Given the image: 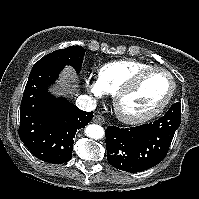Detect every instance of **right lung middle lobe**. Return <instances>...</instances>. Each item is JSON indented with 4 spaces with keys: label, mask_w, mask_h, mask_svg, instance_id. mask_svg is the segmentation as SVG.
Masks as SVG:
<instances>
[{
    "label": "right lung middle lobe",
    "mask_w": 199,
    "mask_h": 199,
    "mask_svg": "<svg viewBox=\"0 0 199 199\" xmlns=\"http://www.w3.org/2000/svg\"><path fill=\"white\" fill-rule=\"evenodd\" d=\"M84 49L81 46H70L56 50L36 62L32 69L51 65H70L77 73L80 72L83 63Z\"/></svg>",
    "instance_id": "right-lung-middle-lobe-1"
}]
</instances>
